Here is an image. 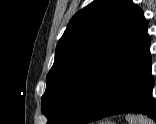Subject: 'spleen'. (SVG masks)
Here are the masks:
<instances>
[{
	"label": "spleen",
	"instance_id": "obj_1",
	"mask_svg": "<svg viewBox=\"0 0 156 124\" xmlns=\"http://www.w3.org/2000/svg\"><path fill=\"white\" fill-rule=\"evenodd\" d=\"M127 120L129 124H154V122L143 115H128Z\"/></svg>",
	"mask_w": 156,
	"mask_h": 124
}]
</instances>
